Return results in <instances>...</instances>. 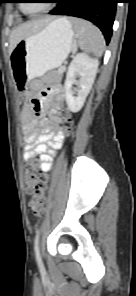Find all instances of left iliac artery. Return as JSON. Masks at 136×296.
I'll list each match as a JSON object with an SVG mask.
<instances>
[{
  "label": "left iliac artery",
  "instance_id": "1",
  "mask_svg": "<svg viewBox=\"0 0 136 296\" xmlns=\"http://www.w3.org/2000/svg\"><path fill=\"white\" fill-rule=\"evenodd\" d=\"M39 230L36 232L35 240H34V251H35V256H36V261L38 264V267L40 271H44V265L40 256V251H39Z\"/></svg>",
  "mask_w": 136,
  "mask_h": 296
}]
</instances>
